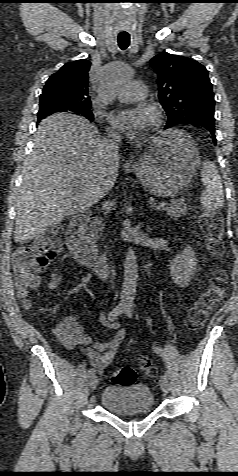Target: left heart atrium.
Instances as JSON below:
<instances>
[{"instance_id": "left-heart-atrium-1", "label": "left heart atrium", "mask_w": 238, "mask_h": 476, "mask_svg": "<svg viewBox=\"0 0 238 476\" xmlns=\"http://www.w3.org/2000/svg\"><path fill=\"white\" fill-rule=\"evenodd\" d=\"M109 120L119 131L131 137H139L151 127L154 118L151 108L139 105L116 111L110 115Z\"/></svg>"}]
</instances>
